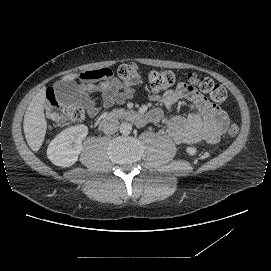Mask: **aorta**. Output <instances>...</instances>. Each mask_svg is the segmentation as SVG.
Masks as SVG:
<instances>
[{
    "mask_svg": "<svg viewBox=\"0 0 271 271\" xmlns=\"http://www.w3.org/2000/svg\"><path fill=\"white\" fill-rule=\"evenodd\" d=\"M120 133L128 135L132 132V125L129 122H123L119 127Z\"/></svg>",
    "mask_w": 271,
    "mask_h": 271,
    "instance_id": "762f6f07",
    "label": "aorta"
}]
</instances>
